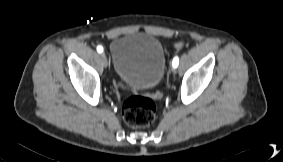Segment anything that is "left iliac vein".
Returning <instances> with one entry per match:
<instances>
[{
    "label": "left iliac vein",
    "instance_id": "1",
    "mask_svg": "<svg viewBox=\"0 0 283 162\" xmlns=\"http://www.w3.org/2000/svg\"><path fill=\"white\" fill-rule=\"evenodd\" d=\"M172 72H173V74H175L176 73V68H172Z\"/></svg>",
    "mask_w": 283,
    "mask_h": 162
}]
</instances>
